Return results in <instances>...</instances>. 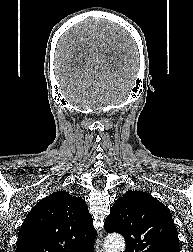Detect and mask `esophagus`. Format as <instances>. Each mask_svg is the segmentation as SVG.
Returning <instances> with one entry per match:
<instances>
[{"label":"esophagus","mask_w":193,"mask_h":252,"mask_svg":"<svg viewBox=\"0 0 193 252\" xmlns=\"http://www.w3.org/2000/svg\"><path fill=\"white\" fill-rule=\"evenodd\" d=\"M96 249H97V252H104L102 231L99 233L98 238L96 240Z\"/></svg>","instance_id":"34e87169"}]
</instances>
